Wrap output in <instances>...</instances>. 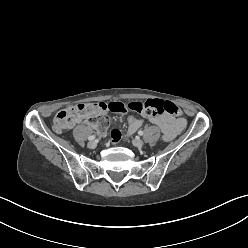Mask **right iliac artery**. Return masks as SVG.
<instances>
[{
	"label": "right iliac artery",
	"instance_id": "1",
	"mask_svg": "<svg viewBox=\"0 0 248 248\" xmlns=\"http://www.w3.org/2000/svg\"><path fill=\"white\" fill-rule=\"evenodd\" d=\"M95 138H96V137H95L94 135H91V136L88 137V140L91 141V140H94Z\"/></svg>",
	"mask_w": 248,
	"mask_h": 248
}]
</instances>
